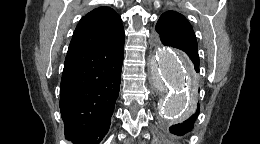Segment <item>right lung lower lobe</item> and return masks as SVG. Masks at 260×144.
Returning a JSON list of instances; mask_svg holds the SVG:
<instances>
[{
  "label": "right lung lower lobe",
  "instance_id": "obj_1",
  "mask_svg": "<svg viewBox=\"0 0 260 144\" xmlns=\"http://www.w3.org/2000/svg\"><path fill=\"white\" fill-rule=\"evenodd\" d=\"M124 38L67 53L60 85L65 137L99 144L108 132L119 95Z\"/></svg>",
  "mask_w": 260,
  "mask_h": 144
}]
</instances>
